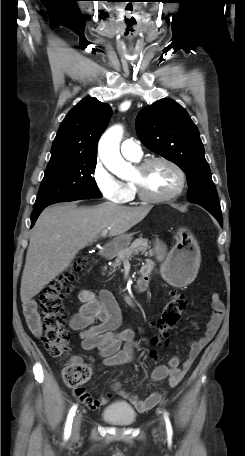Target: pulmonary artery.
I'll list each match as a JSON object with an SVG mask.
<instances>
[{
  "label": "pulmonary artery",
  "instance_id": "1",
  "mask_svg": "<svg viewBox=\"0 0 245 456\" xmlns=\"http://www.w3.org/2000/svg\"><path fill=\"white\" fill-rule=\"evenodd\" d=\"M121 152L126 158L140 159L142 157V149L139 143L132 139H126L121 144Z\"/></svg>",
  "mask_w": 245,
  "mask_h": 456
}]
</instances>
